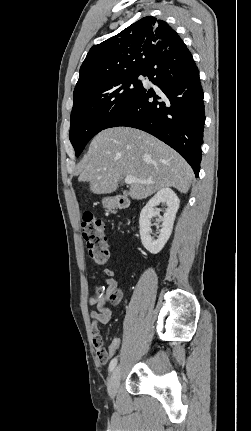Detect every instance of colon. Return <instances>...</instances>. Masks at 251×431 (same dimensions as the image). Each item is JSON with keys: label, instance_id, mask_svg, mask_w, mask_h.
<instances>
[{"label": "colon", "instance_id": "colon-1", "mask_svg": "<svg viewBox=\"0 0 251 431\" xmlns=\"http://www.w3.org/2000/svg\"><path fill=\"white\" fill-rule=\"evenodd\" d=\"M82 236L86 243L90 259L97 265H104L109 258L106 236L104 233V224L101 220L95 218L91 213H87L82 221ZM96 294H101V289H96ZM119 295L111 296L112 302H117ZM121 344V338L114 337L108 345V358L113 359L118 353Z\"/></svg>", "mask_w": 251, "mask_h": 431}]
</instances>
